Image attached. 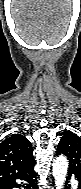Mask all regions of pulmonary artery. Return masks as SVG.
Listing matches in <instances>:
<instances>
[{"instance_id": "1", "label": "pulmonary artery", "mask_w": 81, "mask_h": 189, "mask_svg": "<svg viewBox=\"0 0 81 189\" xmlns=\"http://www.w3.org/2000/svg\"><path fill=\"white\" fill-rule=\"evenodd\" d=\"M73 185H74V187H76V185H77V184H76V182H75V181H73Z\"/></svg>"}]
</instances>
